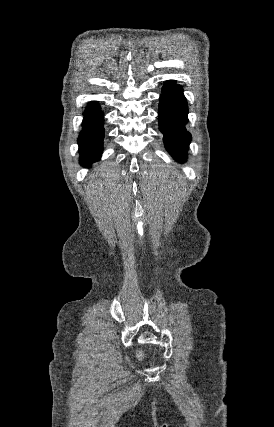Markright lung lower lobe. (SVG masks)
I'll use <instances>...</instances> for the list:
<instances>
[{"mask_svg":"<svg viewBox=\"0 0 274 427\" xmlns=\"http://www.w3.org/2000/svg\"><path fill=\"white\" fill-rule=\"evenodd\" d=\"M83 129L79 135L80 163L90 166L99 160L104 138L103 112L98 104L91 102L84 113Z\"/></svg>","mask_w":274,"mask_h":427,"instance_id":"right-lung-lower-lobe-1","label":"right lung lower lobe"}]
</instances>
